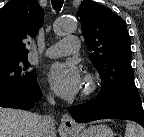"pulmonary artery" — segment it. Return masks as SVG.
<instances>
[{
	"label": "pulmonary artery",
	"mask_w": 144,
	"mask_h": 137,
	"mask_svg": "<svg viewBox=\"0 0 144 137\" xmlns=\"http://www.w3.org/2000/svg\"><path fill=\"white\" fill-rule=\"evenodd\" d=\"M80 42L77 37H65L59 42L53 44L46 50V55L51 58L66 56L77 52Z\"/></svg>",
	"instance_id": "e3ab8cb5"
}]
</instances>
